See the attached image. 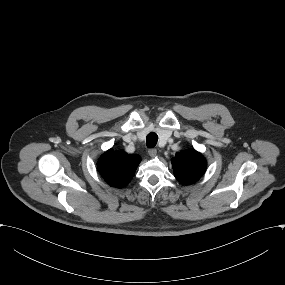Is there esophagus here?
Returning a JSON list of instances; mask_svg holds the SVG:
<instances>
[{"label":"esophagus","mask_w":285,"mask_h":285,"mask_svg":"<svg viewBox=\"0 0 285 285\" xmlns=\"http://www.w3.org/2000/svg\"><path fill=\"white\" fill-rule=\"evenodd\" d=\"M148 154L150 155V157H155L156 156V154H157V149H155V148H150L149 150H148Z\"/></svg>","instance_id":"obj_1"}]
</instances>
